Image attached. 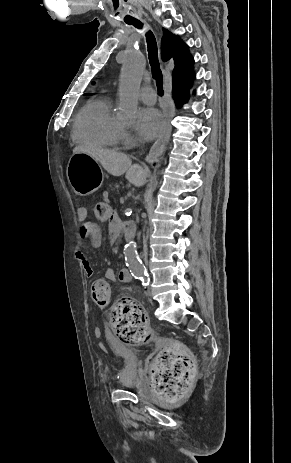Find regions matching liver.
<instances>
[{
  "instance_id": "obj_1",
  "label": "liver",
  "mask_w": 291,
  "mask_h": 463,
  "mask_svg": "<svg viewBox=\"0 0 291 463\" xmlns=\"http://www.w3.org/2000/svg\"><path fill=\"white\" fill-rule=\"evenodd\" d=\"M79 152L90 155L113 176L125 174L126 179L136 187L146 182L147 170L139 164H132L131 159L123 153L88 146H77L73 149V153Z\"/></svg>"
}]
</instances>
